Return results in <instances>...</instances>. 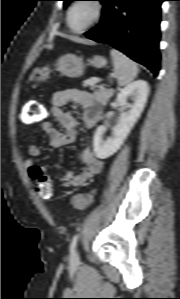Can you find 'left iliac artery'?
Listing matches in <instances>:
<instances>
[{"instance_id":"1","label":"left iliac artery","mask_w":180,"mask_h":299,"mask_svg":"<svg viewBox=\"0 0 180 299\" xmlns=\"http://www.w3.org/2000/svg\"><path fill=\"white\" fill-rule=\"evenodd\" d=\"M77 240H78V234H76L73 239H72V242H71V245H70V251L73 252L75 246H76V243H77Z\"/></svg>"}]
</instances>
